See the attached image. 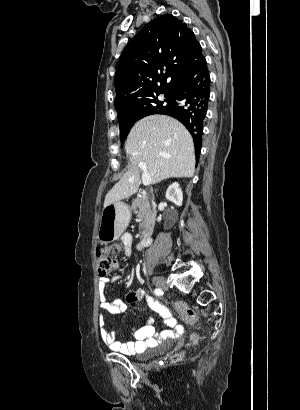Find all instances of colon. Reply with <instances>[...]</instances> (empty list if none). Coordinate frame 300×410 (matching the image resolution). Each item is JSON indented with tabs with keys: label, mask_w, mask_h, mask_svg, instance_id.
Masks as SVG:
<instances>
[{
	"label": "colon",
	"mask_w": 300,
	"mask_h": 410,
	"mask_svg": "<svg viewBox=\"0 0 300 410\" xmlns=\"http://www.w3.org/2000/svg\"><path fill=\"white\" fill-rule=\"evenodd\" d=\"M98 272L100 276H106L111 271L118 269L119 265L117 260L111 255L102 250H97L96 252ZM176 309L181 313V315L187 320H194L196 318L195 312L190 309L185 303L177 302L175 304ZM192 341H196V337H192ZM181 356L176 354L173 356V361H179Z\"/></svg>",
	"instance_id": "5ec220e1"
}]
</instances>
